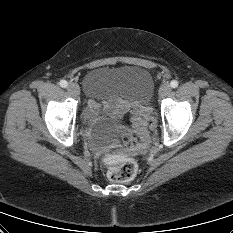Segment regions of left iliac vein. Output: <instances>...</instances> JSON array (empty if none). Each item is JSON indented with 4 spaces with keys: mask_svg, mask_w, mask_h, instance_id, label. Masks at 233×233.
Segmentation results:
<instances>
[{
    "mask_svg": "<svg viewBox=\"0 0 233 233\" xmlns=\"http://www.w3.org/2000/svg\"><path fill=\"white\" fill-rule=\"evenodd\" d=\"M171 91L170 85L169 84H163L161 85L160 89H159V96L160 97H165L166 95H168Z\"/></svg>",
    "mask_w": 233,
    "mask_h": 233,
    "instance_id": "1",
    "label": "left iliac vein"
}]
</instances>
